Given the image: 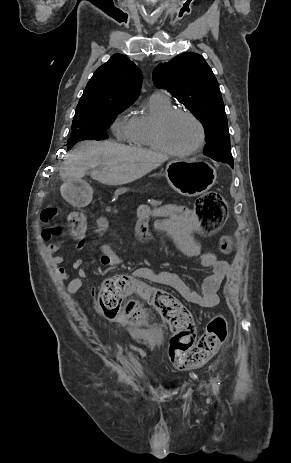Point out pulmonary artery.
<instances>
[{
	"instance_id": "1",
	"label": "pulmonary artery",
	"mask_w": 291,
	"mask_h": 463,
	"mask_svg": "<svg viewBox=\"0 0 291 463\" xmlns=\"http://www.w3.org/2000/svg\"><path fill=\"white\" fill-rule=\"evenodd\" d=\"M160 93L163 94L166 98H168V96L164 92H160Z\"/></svg>"
}]
</instances>
